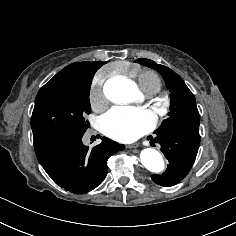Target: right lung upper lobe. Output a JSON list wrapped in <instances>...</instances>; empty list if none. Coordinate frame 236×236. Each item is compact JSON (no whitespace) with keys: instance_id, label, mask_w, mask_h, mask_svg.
<instances>
[{"instance_id":"1","label":"right lung upper lobe","mask_w":236,"mask_h":236,"mask_svg":"<svg viewBox=\"0 0 236 236\" xmlns=\"http://www.w3.org/2000/svg\"><path fill=\"white\" fill-rule=\"evenodd\" d=\"M106 62H77L72 63L57 73L52 79L74 80L93 77L97 69Z\"/></svg>"}]
</instances>
